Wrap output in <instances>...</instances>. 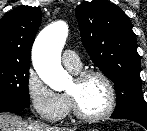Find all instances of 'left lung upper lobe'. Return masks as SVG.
I'll list each match as a JSON object with an SVG mask.
<instances>
[{
	"mask_svg": "<svg viewBox=\"0 0 147 131\" xmlns=\"http://www.w3.org/2000/svg\"><path fill=\"white\" fill-rule=\"evenodd\" d=\"M82 43L93 63L115 84L117 105L113 116L147 117L141 89L140 56L129 17L105 0L76 7Z\"/></svg>",
	"mask_w": 147,
	"mask_h": 131,
	"instance_id": "left-lung-upper-lobe-1",
	"label": "left lung upper lobe"
}]
</instances>
